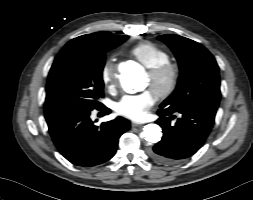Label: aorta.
I'll use <instances>...</instances> for the list:
<instances>
[{"label":"aorta","instance_id":"aorta-1","mask_svg":"<svg viewBox=\"0 0 253 200\" xmlns=\"http://www.w3.org/2000/svg\"><path fill=\"white\" fill-rule=\"evenodd\" d=\"M121 85L127 93H136L145 88L143 75L136 69H127L120 78ZM160 126L148 124L144 126L141 136L150 143H157L162 137Z\"/></svg>","mask_w":253,"mask_h":200}]
</instances>
